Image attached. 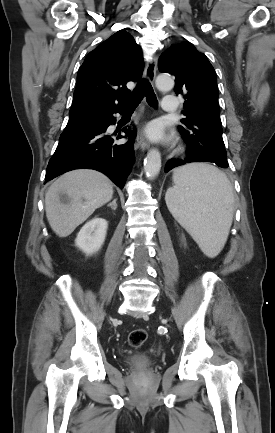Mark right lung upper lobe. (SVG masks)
<instances>
[{
	"mask_svg": "<svg viewBox=\"0 0 275 433\" xmlns=\"http://www.w3.org/2000/svg\"><path fill=\"white\" fill-rule=\"evenodd\" d=\"M144 62L140 47L125 30H120L91 51L77 74L69 120L96 111L122 108L130 96L126 87L142 75Z\"/></svg>",
	"mask_w": 275,
	"mask_h": 433,
	"instance_id": "cb5924a9",
	"label": "right lung upper lobe"
}]
</instances>
